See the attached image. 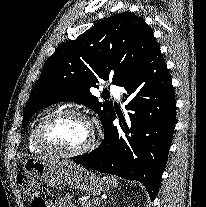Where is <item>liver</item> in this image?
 Listing matches in <instances>:
<instances>
[{"label": "liver", "instance_id": "liver-1", "mask_svg": "<svg viewBox=\"0 0 206 207\" xmlns=\"http://www.w3.org/2000/svg\"><path fill=\"white\" fill-rule=\"evenodd\" d=\"M43 158H47V159H54L55 160V158H50V157H43ZM64 165H66V166H73V167H75L76 165L74 164V163H72V162H68V161H61Z\"/></svg>", "mask_w": 206, "mask_h": 207}]
</instances>
